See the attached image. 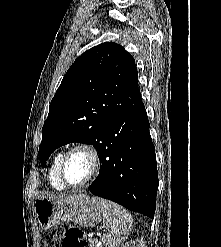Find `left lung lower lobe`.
<instances>
[{"mask_svg":"<svg viewBox=\"0 0 221 247\" xmlns=\"http://www.w3.org/2000/svg\"><path fill=\"white\" fill-rule=\"evenodd\" d=\"M149 126L143 105L104 128L100 172L90 192L153 218L158 172Z\"/></svg>","mask_w":221,"mask_h":247,"instance_id":"1","label":"left lung lower lobe"}]
</instances>
